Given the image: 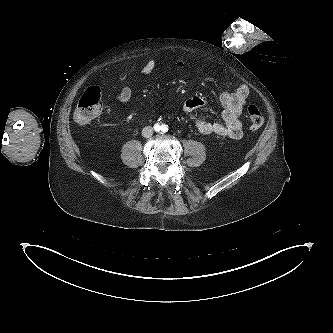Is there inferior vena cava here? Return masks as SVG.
Segmentation results:
<instances>
[{
  "label": "inferior vena cava",
  "mask_w": 333,
  "mask_h": 333,
  "mask_svg": "<svg viewBox=\"0 0 333 333\" xmlns=\"http://www.w3.org/2000/svg\"><path fill=\"white\" fill-rule=\"evenodd\" d=\"M153 135V128L151 126H146L142 130V136L145 138H149Z\"/></svg>",
  "instance_id": "602c4592"
}]
</instances>
